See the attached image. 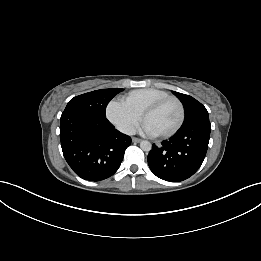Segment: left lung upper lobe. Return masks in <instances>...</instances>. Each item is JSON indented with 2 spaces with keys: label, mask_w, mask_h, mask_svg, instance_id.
Segmentation results:
<instances>
[{
  "label": "left lung upper lobe",
  "mask_w": 261,
  "mask_h": 261,
  "mask_svg": "<svg viewBox=\"0 0 261 261\" xmlns=\"http://www.w3.org/2000/svg\"><path fill=\"white\" fill-rule=\"evenodd\" d=\"M183 103L185 108V120L183 126L189 125L198 121H209V116L206 108L193 97L173 92Z\"/></svg>",
  "instance_id": "1"
}]
</instances>
